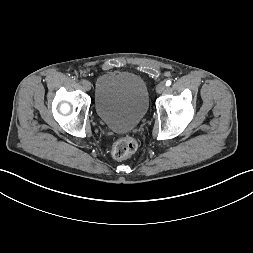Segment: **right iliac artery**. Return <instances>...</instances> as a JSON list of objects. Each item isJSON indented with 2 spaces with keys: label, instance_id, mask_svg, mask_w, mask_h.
I'll list each match as a JSON object with an SVG mask.
<instances>
[{
  "label": "right iliac artery",
  "instance_id": "right-iliac-artery-1",
  "mask_svg": "<svg viewBox=\"0 0 253 253\" xmlns=\"http://www.w3.org/2000/svg\"><path fill=\"white\" fill-rule=\"evenodd\" d=\"M85 82V80H80V83L83 84Z\"/></svg>",
  "mask_w": 253,
  "mask_h": 253
}]
</instances>
